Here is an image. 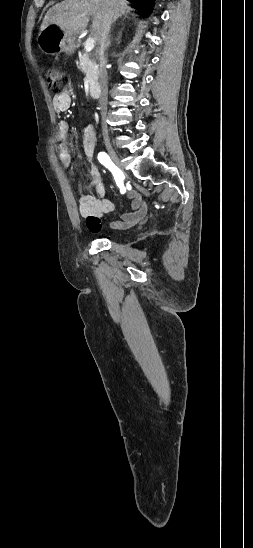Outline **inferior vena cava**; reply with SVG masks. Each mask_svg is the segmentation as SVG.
<instances>
[{"label": "inferior vena cava", "instance_id": "1", "mask_svg": "<svg viewBox=\"0 0 253 548\" xmlns=\"http://www.w3.org/2000/svg\"><path fill=\"white\" fill-rule=\"evenodd\" d=\"M108 9L106 11L102 28L100 31V35L98 37V43L100 45L99 47V57H100V65H99V82L101 87V96L99 98V105L102 110V113L99 114L100 119V125L102 126V132L104 139H108V130H107V117H106V110H107V92H108V77H107V59L104 55V52L107 48V40L109 37V31L111 28V24L114 17V6H115V0H107Z\"/></svg>", "mask_w": 253, "mask_h": 548}]
</instances>
